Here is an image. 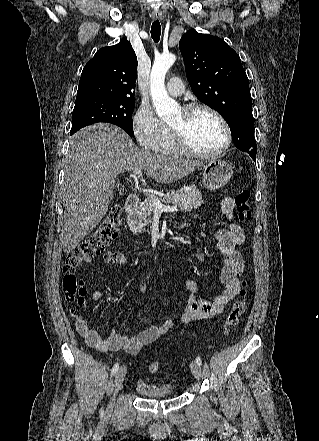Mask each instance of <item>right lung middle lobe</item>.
Returning a JSON list of instances; mask_svg holds the SVG:
<instances>
[{
  "label": "right lung middle lobe",
  "instance_id": "right-lung-middle-lobe-1",
  "mask_svg": "<svg viewBox=\"0 0 319 441\" xmlns=\"http://www.w3.org/2000/svg\"><path fill=\"white\" fill-rule=\"evenodd\" d=\"M134 106V100L130 99L99 97L76 99L70 135L90 124L108 122L121 127L129 136H133L131 115Z\"/></svg>",
  "mask_w": 319,
  "mask_h": 441
}]
</instances>
